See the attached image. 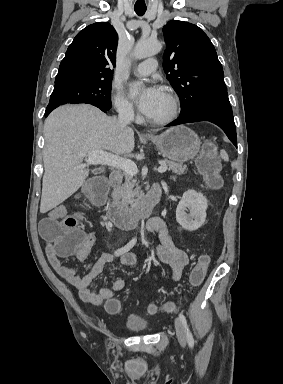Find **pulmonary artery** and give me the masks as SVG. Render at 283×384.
<instances>
[{"label":"pulmonary artery","mask_w":283,"mask_h":384,"mask_svg":"<svg viewBox=\"0 0 283 384\" xmlns=\"http://www.w3.org/2000/svg\"><path fill=\"white\" fill-rule=\"evenodd\" d=\"M157 66L155 61H146L136 64L133 69V72L137 76H147L150 75L153 71H156Z\"/></svg>","instance_id":"obj_1"}]
</instances>
